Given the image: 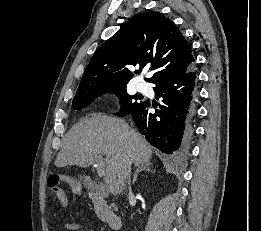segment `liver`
I'll return each mask as SVG.
<instances>
[{
  "instance_id": "1",
  "label": "liver",
  "mask_w": 261,
  "mask_h": 231,
  "mask_svg": "<svg viewBox=\"0 0 261 231\" xmlns=\"http://www.w3.org/2000/svg\"><path fill=\"white\" fill-rule=\"evenodd\" d=\"M105 155V189L121 194L131 164L148 163L152 148L140 133L118 118L93 114L81 120L65 136L64 145L55 159V166H90L96 155Z\"/></svg>"
}]
</instances>
